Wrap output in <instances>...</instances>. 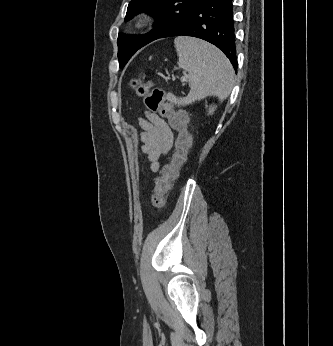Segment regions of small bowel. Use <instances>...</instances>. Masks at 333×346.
Masks as SVG:
<instances>
[{"label": "small bowel", "instance_id": "1", "mask_svg": "<svg viewBox=\"0 0 333 346\" xmlns=\"http://www.w3.org/2000/svg\"><path fill=\"white\" fill-rule=\"evenodd\" d=\"M139 125L141 127L142 152L150 161L151 169L157 171L159 159L173 147V130L163 118L151 112H145V117L139 118Z\"/></svg>", "mask_w": 333, "mask_h": 346}]
</instances>
